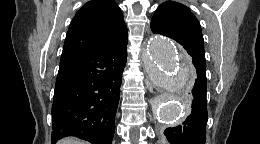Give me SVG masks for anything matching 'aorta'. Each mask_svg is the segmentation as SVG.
Segmentation results:
<instances>
[{
	"mask_svg": "<svg viewBox=\"0 0 260 144\" xmlns=\"http://www.w3.org/2000/svg\"><path fill=\"white\" fill-rule=\"evenodd\" d=\"M150 81L171 93L156 97L153 105L161 122H179L186 114L185 90L191 79L189 56L169 38L153 35L144 49Z\"/></svg>",
	"mask_w": 260,
	"mask_h": 144,
	"instance_id": "762f6f07",
	"label": "aorta"
}]
</instances>
